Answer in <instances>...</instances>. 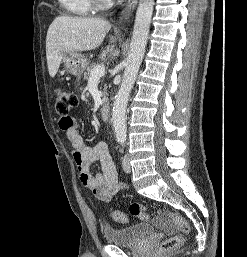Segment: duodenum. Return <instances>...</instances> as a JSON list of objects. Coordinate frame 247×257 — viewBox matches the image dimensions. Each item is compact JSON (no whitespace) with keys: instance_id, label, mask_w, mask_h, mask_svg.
<instances>
[{"instance_id":"410a0bca","label":"duodenum","mask_w":247,"mask_h":257,"mask_svg":"<svg viewBox=\"0 0 247 257\" xmlns=\"http://www.w3.org/2000/svg\"><path fill=\"white\" fill-rule=\"evenodd\" d=\"M100 114L103 120H108L111 115L110 106L108 104H104L100 109Z\"/></svg>"}]
</instances>
